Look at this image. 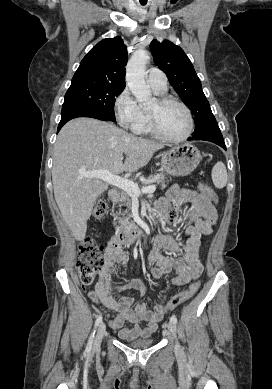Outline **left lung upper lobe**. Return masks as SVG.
<instances>
[{
	"label": "left lung upper lobe",
	"mask_w": 272,
	"mask_h": 389,
	"mask_svg": "<svg viewBox=\"0 0 272 389\" xmlns=\"http://www.w3.org/2000/svg\"><path fill=\"white\" fill-rule=\"evenodd\" d=\"M150 49L154 62L167 75L169 82L194 115L195 131L200 134L217 123L206 99L201 82L184 51L170 41L153 40Z\"/></svg>",
	"instance_id": "1"
}]
</instances>
